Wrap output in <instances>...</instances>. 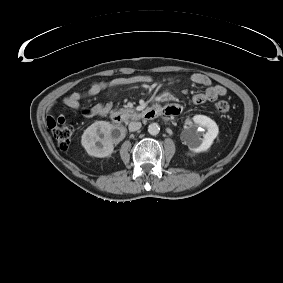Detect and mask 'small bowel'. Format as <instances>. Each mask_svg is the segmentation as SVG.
Here are the masks:
<instances>
[{
  "label": "small bowel",
  "mask_w": 283,
  "mask_h": 283,
  "mask_svg": "<svg viewBox=\"0 0 283 283\" xmlns=\"http://www.w3.org/2000/svg\"><path fill=\"white\" fill-rule=\"evenodd\" d=\"M151 81L150 76L148 75H136L128 77H117L109 81H94L92 82L85 91L74 92L70 95L62 98L61 104L73 109L79 110L82 112V115L86 118L92 117H102L105 116L111 108L109 103L98 104L93 107H82L81 100L86 97L96 96L99 93L110 89L121 87L130 84H143L149 83ZM191 81L199 86L205 87V90L202 92L195 93L192 96V101L195 104H204L209 101H214L218 97L224 96L226 94V89L221 85H211V80L204 74L196 73L191 76ZM169 96L165 95V99H168ZM55 108V104H51L48 108L50 115L47 117V125L51 128L56 124L65 123L64 116L60 115L58 117L52 116V112ZM181 112V109L178 106H167L165 108V113L168 115H177Z\"/></svg>",
  "instance_id": "small-bowel-1"
}]
</instances>
